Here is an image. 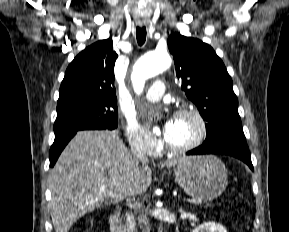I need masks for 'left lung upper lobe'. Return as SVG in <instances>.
I'll return each instance as SVG.
<instances>
[{"label":"left lung upper lobe","instance_id":"1","mask_svg":"<svg viewBox=\"0 0 289 232\" xmlns=\"http://www.w3.org/2000/svg\"><path fill=\"white\" fill-rule=\"evenodd\" d=\"M181 89L206 121L203 145L228 139H245L238 100L224 63L211 46L199 39L173 33L168 38Z\"/></svg>","mask_w":289,"mask_h":232}]
</instances>
